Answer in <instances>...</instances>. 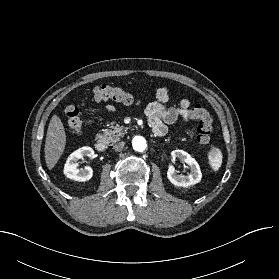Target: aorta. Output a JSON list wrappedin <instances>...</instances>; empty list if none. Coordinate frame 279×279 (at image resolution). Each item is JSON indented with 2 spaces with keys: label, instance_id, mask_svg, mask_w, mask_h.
<instances>
[{
  "label": "aorta",
  "instance_id": "1",
  "mask_svg": "<svg viewBox=\"0 0 279 279\" xmlns=\"http://www.w3.org/2000/svg\"><path fill=\"white\" fill-rule=\"evenodd\" d=\"M132 145L136 151H144L146 148V140L142 136H135L132 140Z\"/></svg>",
  "mask_w": 279,
  "mask_h": 279
}]
</instances>
